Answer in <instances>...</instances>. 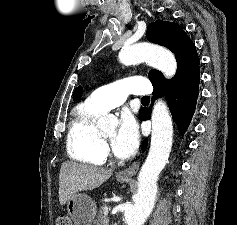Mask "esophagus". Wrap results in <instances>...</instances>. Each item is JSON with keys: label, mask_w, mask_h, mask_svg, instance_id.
Returning <instances> with one entry per match:
<instances>
[{"label": "esophagus", "mask_w": 237, "mask_h": 225, "mask_svg": "<svg viewBox=\"0 0 237 225\" xmlns=\"http://www.w3.org/2000/svg\"><path fill=\"white\" fill-rule=\"evenodd\" d=\"M140 162H141L140 159H136L129 168L120 171L117 174V176L121 177V178H131V177H133L134 175L137 174V172L139 170Z\"/></svg>", "instance_id": "1"}]
</instances>
